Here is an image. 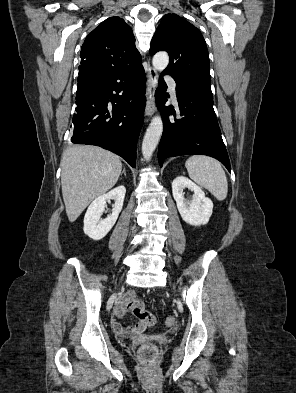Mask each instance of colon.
<instances>
[{
    "instance_id": "colon-1",
    "label": "colon",
    "mask_w": 296,
    "mask_h": 393,
    "mask_svg": "<svg viewBox=\"0 0 296 393\" xmlns=\"http://www.w3.org/2000/svg\"><path fill=\"white\" fill-rule=\"evenodd\" d=\"M122 306L126 311H132L134 316L140 321L144 322L147 326H153L156 323V317L153 313L145 310L143 303L140 300H124ZM168 327H172L175 324L173 318H167L165 321ZM157 354V348L155 345L148 343L143 345L138 355L140 359L146 364L151 363Z\"/></svg>"
}]
</instances>
